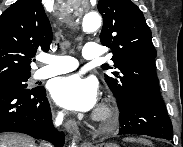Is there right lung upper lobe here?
<instances>
[{"instance_id":"1","label":"right lung upper lobe","mask_w":183,"mask_h":147,"mask_svg":"<svg viewBox=\"0 0 183 147\" xmlns=\"http://www.w3.org/2000/svg\"><path fill=\"white\" fill-rule=\"evenodd\" d=\"M52 29L40 0H18L0 16V81L30 76L37 49L47 52Z\"/></svg>"}]
</instances>
